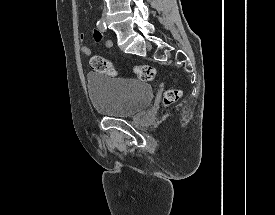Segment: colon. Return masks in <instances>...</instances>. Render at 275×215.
<instances>
[{"label": "colon", "instance_id": "obj_1", "mask_svg": "<svg viewBox=\"0 0 275 215\" xmlns=\"http://www.w3.org/2000/svg\"><path fill=\"white\" fill-rule=\"evenodd\" d=\"M92 70L111 75L114 72L111 62L102 56H93L89 61ZM135 76L144 82H152L156 78V69L149 65L136 66L133 68ZM179 88H170L165 91L163 102L165 105L175 103L181 97Z\"/></svg>", "mask_w": 275, "mask_h": 215}]
</instances>
